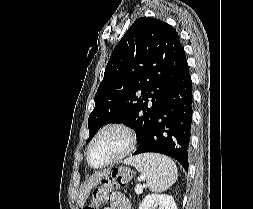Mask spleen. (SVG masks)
<instances>
[{
	"instance_id": "3e777b00",
	"label": "spleen",
	"mask_w": 253,
	"mask_h": 209,
	"mask_svg": "<svg viewBox=\"0 0 253 209\" xmlns=\"http://www.w3.org/2000/svg\"><path fill=\"white\" fill-rule=\"evenodd\" d=\"M125 163L134 166L140 172L153 192L169 189L178 177L174 161L161 154L145 153L128 158Z\"/></svg>"
}]
</instances>
